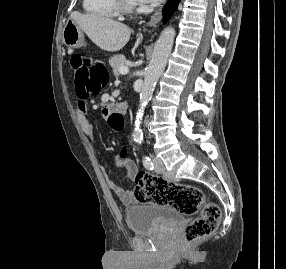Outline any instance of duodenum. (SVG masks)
I'll return each mask as SVG.
<instances>
[{
    "mask_svg": "<svg viewBox=\"0 0 286 269\" xmlns=\"http://www.w3.org/2000/svg\"><path fill=\"white\" fill-rule=\"evenodd\" d=\"M109 110L117 109L121 113H125L127 111L128 105L126 103H121L119 105H109Z\"/></svg>",
    "mask_w": 286,
    "mask_h": 269,
    "instance_id": "1",
    "label": "duodenum"
}]
</instances>
